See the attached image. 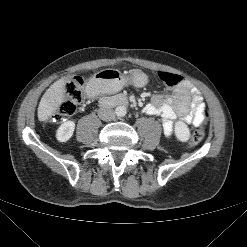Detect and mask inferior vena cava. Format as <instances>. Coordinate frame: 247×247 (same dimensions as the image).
<instances>
[{
	"instance_id": "1",
	"label": "inferior vena cava",
	"mask_w": 247,
	"mask_h": 247,
	"mask_svg": "<svg viewBox=\"0 0 247 247\" xmlns=\"http://www.w3.org/2000/svg\"><path fill=\"white\" fill-rule=\"evenodd\" d=\"M98 116L103 121H112L116 117V113L113 109L110 108H100L98 110Z\"/></svg>"
}]
</instances>
